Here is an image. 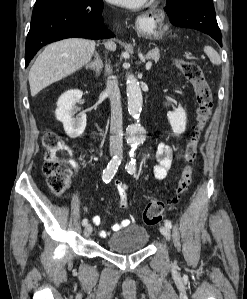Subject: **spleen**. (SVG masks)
Wrapping results in <instances>:
<instances>
[{"mask_svg":"<svg viewBox=\"0 0 247 299\" xmlns=\"http://www.w3.org/2000/svg\"><path fill=\"white\" fill-rule=\"evenodd\" d=\"M205 54L209 57L210 61L213 64L219 65L221 63V59L217 51L211 46L204 47Z\"/></svg>","mask_w":247,"mask_h":299,"instance_id":"spleen-1","label":"spleen"}]
</instances>
